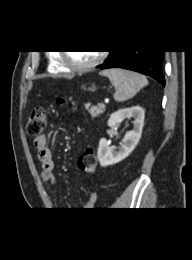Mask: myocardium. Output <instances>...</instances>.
<instances>
[{"label":"myocardium","instance_id":"f54148a6","mask_svg":"<svg viewBox=\"0 0 192 260\" xmlns=\"http://www.w3.org/2000/svg\"><path fill=\"white\" fill-rule=\"evenodd\" d=\"M104 59V55L100 54L94 59L92 62L85 64V65H75L73 64L68 57L67 52H61L60 54V60L62 64L69 70L74 71V72H86L89 71L96 66H98Z\"/></svg>","mask_w":192,"mask_h":260}]
</instances>
